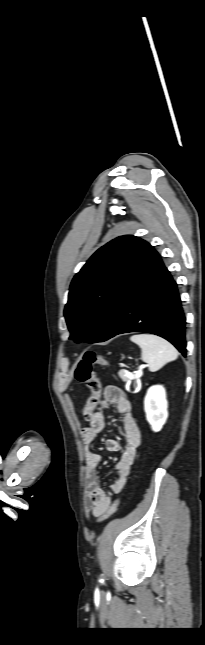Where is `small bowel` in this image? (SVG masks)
I'll list each match as a JSON object with an SVG mask.
<instances>
[{
    "instance_id": "obj_1",
    "label": "small bowel",
    "mask_w": 205,
    "mask_h": 645,
    "mask_svg": "<svg viewBox=\"0 0 205 645\" xmlns=\"http://www.w3.org/2000/svg\"><path fill=\"white\" fill-rule=\"evenodd\" d=\"M109 405H114L117 413L122 417L126 442L121 457L116 464V477L109 486V491H105L97 475V466L100 463L101 457L99 454L93 452L90 446L105 427L104 410ZM95 408L96 411L90 419V425L81 430V438L86 446L85 509L93 516L98 517L110 506L112 496L120 493L126 484L131 467L137 457L138 447L141 444V433L136 420L132 416L131 402L119 388L115 386L105 387L103 395L101 398L99 397L98 404ZM105 444L109 451H119L121 449L120 442L114 438H108Z\"/></svg>"
}]
</instances>
